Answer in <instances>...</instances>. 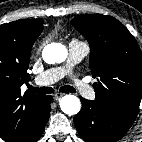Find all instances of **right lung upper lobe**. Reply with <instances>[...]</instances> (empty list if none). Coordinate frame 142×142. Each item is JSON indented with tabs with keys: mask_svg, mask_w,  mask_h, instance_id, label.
I'll return each mask as SVG.
<instances>
[{
	"mask_svg": "<svg viewBox=\"0 0 142 142\" xmlns=\"http://www.w3.org/2000/svg\"><path fill=\"white\" fill-rule=\"evenodd\" d=\"M42 19L0 25V137L17 142L32 128L44 108L45 96L26 91L32 46L43 31Z\"/></svg>",
	"mask_w": 142,
	"mask_h": 142,
	"instance_id": "1",
	"label": "right lung upper lobe"
}]
</instances>
